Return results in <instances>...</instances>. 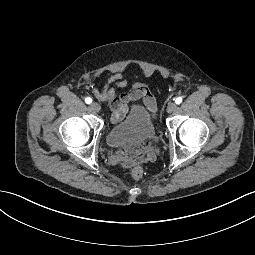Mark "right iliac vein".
<instances>
[{
    "label": "right iliac vein",
    "instance_id": "1",
    "mask_svg": "<svg viewBox=\"0 0 255 255\" xmlns=\"http://www.w3.org/2000/svg\"><path fill=\"white\" fill-rule=\"evenodd\" d=\"M90 108L91 110H93L94 112H99L100 111V105L96 102H93L90 104Z\"/></svg>",
    "mask_w": 255,
    "mask_h": 255
}]
</instances>
